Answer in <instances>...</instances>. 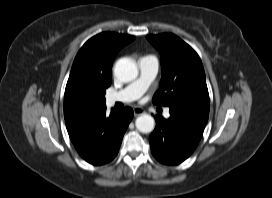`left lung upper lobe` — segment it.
I'll return each mask as SVG.
<instances>
[{
	"label": "left lung upper lobe",
	"instance_id": "left-lung-upper-lobe-1",
	"mask_svg": "<svg viewBox=\"0 0 272 198\" xmlns=\"http://www.w3.org/2000/svg\"><path fill=\"white\" fill-rule=\"evenodd\" d=\"M146 38L161 56L162 78L153 103L209 113L205 72L198 54L172 33Z\"/></svg>",
	"mask_w": 272,
	"mask_h": 198
}]
</instances>
